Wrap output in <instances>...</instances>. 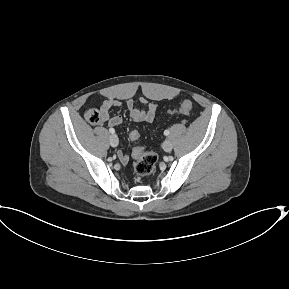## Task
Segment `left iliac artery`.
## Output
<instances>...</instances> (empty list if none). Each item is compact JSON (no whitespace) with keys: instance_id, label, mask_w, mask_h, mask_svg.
I'll return each mask as SVG.
<instances>
[{"instance_id":"1","label":"left iliac artery","mask_w":289,"mask_h":289,"mask_svg":"<svg viewBox=\"0 0 289 289\" xmlns=\"http://www.w3.org/2000/svg\"><path fill=\"white\" fill-rule=\"evenodd\" d=\"M169 133H170V131H169V130H165V131H164V135H166V136H168V135H169Z\"/></svg>"}]
</instances>
